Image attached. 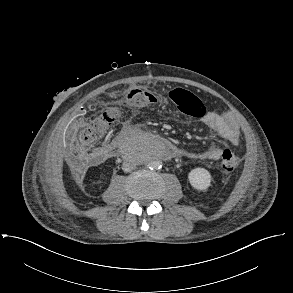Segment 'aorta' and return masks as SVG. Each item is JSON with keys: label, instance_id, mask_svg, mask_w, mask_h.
I'll return each mask as SVG.
<instances>
[{"label": "aorta", "instance_id": "1", "mask_svg": "<svg viewBox=\"0 0 293 293\" xmlns=\"http://www.w3.org/2000/svg\"><path fill=\"white\" fill-rule=\"evenodd\" d=\"M161 162L160 161H157V160H155V161H150L149 163H148V167L150 168V169H152V170H157V169H160L161 168Z\"/></svg>", "mask_w": 293, "mask_h": 293}]
</instances>
